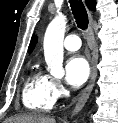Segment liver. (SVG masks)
Wrapping results in <instances>:
<instances>
[{
	"label": "liver",
	"instance_id": "obj_1",
	"mask_svg": "<svg viewBox=\"0 0 118 123\" xmlns=\"http://www.w3.org/2000/svg\"><path fill=\"white\" fill-rule=\"evenodd\" d=\"M4 123H56V121L40 114H23L8 118Z\"/></svg>",
	"mask_w": 118,
	"mask_h": 123
}]
</instances>
